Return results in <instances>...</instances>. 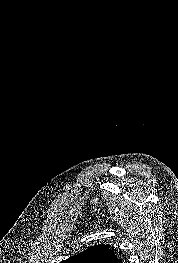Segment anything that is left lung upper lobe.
Masks as SVG:
<instances>
[{"label":"left lung upper lobe","mask_w":178,"mask_h":263,"mask_svg":"<svg viewBox=\"0 0 178 263\" xmlns=\"http://www.w3.org/2000/svg\"><path fill=\"white\" fill-rule=\"evenodd\" d=\"M116 257L110 245L95 244L66 260H62L61 263H111Z\"/></svg>","instance_id":"obj_1"}]
</instances>
